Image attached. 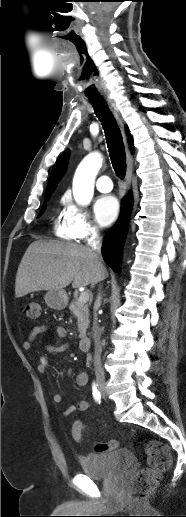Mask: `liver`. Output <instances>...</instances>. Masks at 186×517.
<instances>
[{
    "label": "liver",
    "mask_w": 186,
    "mask_h": 517,
    "mask_svg": "<svg viewBox=\"0 0 186 517\" xmlns=\"http://www.w3.org/2000/svg\"><path fill=\"white\" fill-rule=\"evenodd\" d=\"M108 275L105 266L87 246L59 241H35L27 248L18 267L15 296L40 290L94 285Z\"/></svg>",
    "instance_id": "liver-1"
}]
</instances>
